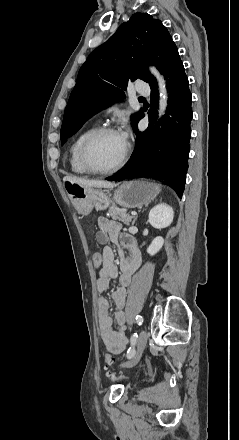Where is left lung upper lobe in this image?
I'll use <instances>...</instances> for the list:
<instances>
[{
    "label": "left lung upper lobe",
    "instance_id": "obj_1",
    "mask_svg": "<svg viewBox=\"0 0 239 440\" xmlns=\"http://www.w3.org/2000/svg\"><path fill=\"white\" fill-rule=\"evenodd\" d=\"M174 46L162 22L147 13H136L121 24L80 68L65 109L61 142L76 133L94 114L124 98L122 90L129 80L141 79L148 83L153 80L148 64L161 71ZM140 113L131 117L133 126Z\"/></svg>",
    "mask_w": 239,
    "mask_h": 440
}]
</instances>
